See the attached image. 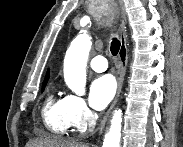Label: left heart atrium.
<instances>
[{
  "instance_id": "obj_1",
  "label": "left heart atrium",
  "mask_w": 183,
  "mask_h": 147,
  "mask_svg": "<svg viewBox=\"0 0 183 147\" xmlns=\"http://www.w3.org/2000/svg\"><path fill=\"white\" fill-rule=\"evenodd\" d=\"M116 92V81L111 75L96 77L89 89L90 105L96 110L104 109L113 99Z\"/></svg>"
}]
</instances>
